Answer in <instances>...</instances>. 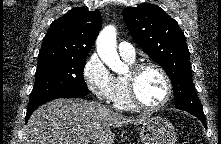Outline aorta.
Returning a JSON list of instances; mask_svg holds the SVG:
<instances>
[{"mask_svg":"<svg viewBox=\"0 0 221 144\" xmlns=\"http://www.w3.org/2000/svg\"><path fill=\"white\" fill-rule=\"evenodd\" d=\"M116 40L115 27L112 25L106 26L98 35L96 41L97 53L105 65L112 71L124 74L128 70V67L117 53Z\"/></svg>","mask_w":221,"mask_h":144,"instance_id":"1","label":"aorta"}]
</instances>
